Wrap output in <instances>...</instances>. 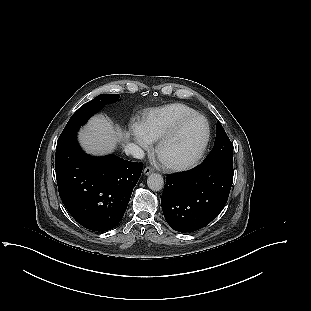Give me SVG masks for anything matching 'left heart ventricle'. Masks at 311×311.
I'll use <instances>...</instances> for the list:
<instances>
[{
	"mask_svg": "<svg viewBox=\"0 0 311 311\" xmlns=\"http://www.w3.org/2000/svg\"><path fill=\"white\" fill-rule=\"evenodd\" d=\"M205 135V125L202 119L189 121L182 130L161 152L164 160L183 162L190 160L200 148Z\"/></svg>",
	"mask_w": 311,
	"mask_h": 311,
	"instance_id": "1",
	"label": "left heart ventricle"
}]
</instances>
